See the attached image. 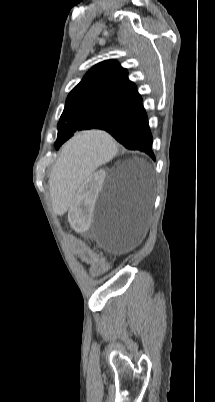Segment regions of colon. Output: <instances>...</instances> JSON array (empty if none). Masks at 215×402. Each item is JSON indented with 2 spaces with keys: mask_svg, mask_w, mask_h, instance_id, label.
<instances>
[{
  "mask_svg": "<svg viewBox=\"0 0 215 402\" xmlns=\"http://www.w3.org/2000/svg\"><path fill=\"white\" fill-rule=\"evenodd\" d=\"M63 241L68 244H73L72 248L74 251L78 252V258L80 260H94V267L96 271H100L108 267V263L104 260V252L95 251L93 245H83L79 238L71 236L70 232L63 233Z\"/></svg>",
  "mask_w": 215,
  "mask_h": 402,
  "instance_id": "colon-1",
  "label": "colon"
}]
</instances>
